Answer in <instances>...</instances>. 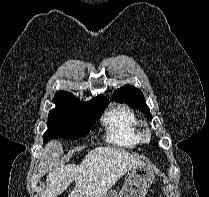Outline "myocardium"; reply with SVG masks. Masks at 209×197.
<instances>
[{
  "label": "myocardium",
  "instance_id": "obj_1",
  "mask_svg": "<svg viewBox=\"0 0 209 197\" xmlns=\"http://www.w3.org/2000/svg\"><path fill=\"white\" fill-rule=\"evenodd\" d=\"M152 137V133L149 129L144 128L141 132H140V139L144 142H149L151 140Z\"/></svg>",
  "mask_w": 209,
  "mask_h": 197
}]
</instances>
